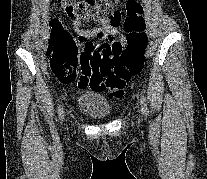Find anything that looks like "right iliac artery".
Listing matches in <instances>:
<instances>
[{
	"mask_svg": "<svg viewBox=\"0 0 207 179\" xmlns=\"http://www.w3.org/2000/svg\"><path fill=\"white\" fill-rule=\"evenodd\" d=\"M58 115H59L60 119H62L64 116V111H63L62 105H59V107H58Z\"/></svg>",
	"mask_w": 207,
	"mask_h": 179,
	"instance_id": "1",
	"label": "right iliac artery"
}]
</instances>
